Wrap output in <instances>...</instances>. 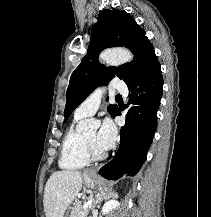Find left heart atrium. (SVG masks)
Listing matches in <instances>:
<instances>
[{
    "mask_svg": "<svg viewBox=\"0 0 211 217\" xmlns=\"http://www.w3.org/2000/svg\"><path fill=\"white\" fill-rule=\"evenodd\" d=\"M117 131L113 122L106 118L102 121L96 136V144L102 150L110 149L116 141Z\"/></svg>",
    "mask_w": 211,
    "mask_h": 217,
    "instance_id": "39dd6f15",
    "label": "left heart atrium"
}]
</instances>
